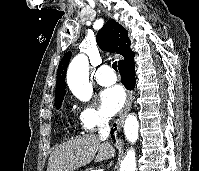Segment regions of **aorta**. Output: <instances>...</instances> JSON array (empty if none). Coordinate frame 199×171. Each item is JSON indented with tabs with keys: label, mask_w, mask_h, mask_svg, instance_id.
<instances>
[{
	"label": "aorta",
	"mask_w": 199,
	"mask_h": 171,
	"mask_svg": "<svg viewBox=\"0 0 199 171\" xmlns=\"http://www.w3.org/2000/svg\"><path fill=\"white\" fill-rule=\"evenodd\" d=\"M67 83L72 93L82 101L92 97L93 89L89 83V62L85 55H77L70 63L67 71ZM139 122L135 115L126 118L124 132L127 140L134 143L138 139ZM136 156L134 150H129L123 159L120 171H135Z\"/></svg>",
	"instance_id": "762f6f07"
}]
</instances>
